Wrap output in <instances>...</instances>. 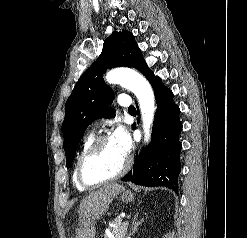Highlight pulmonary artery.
Here are the masks:
<instances>
[{
  "label": "pulmonary artery",
  "mask_w": 247,
  "mask_h": 238,
  "mask_svg": "<svg viewBox=\"0 0 247 238\" xmlns=\"http://www.w3.org/2000/svg\"><path fill=\"white\" fill-rule=\"evenodd\" d=\"M118 104L129 108L131 106V99L127 95L122 94L118 97Z\"/></svg>",
  "instance_id": "obj_1"
}]
</instances>
